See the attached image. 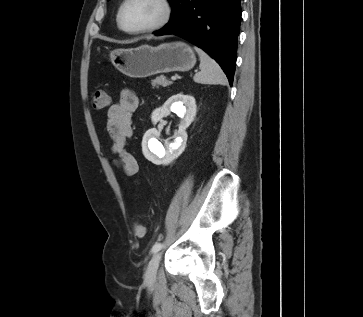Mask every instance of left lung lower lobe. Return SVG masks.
Masks as SVG:
<instances>
[{"mask_svg": "<svg viewBox=\"0 0 363 317\" xmlns=\"http://www.w3.org/2000/svg\"><path fill=\"white\" fill-rule=\"evenodd\" d=\"M169 23L156 36L175 34L205 50L227 75L236 67L240 30V0H173Z\"/></svg>", "mask_w": 363, "mask_h": 317, "instance_id": "1", "label": "left lung lower lobe"}]
</instances>
